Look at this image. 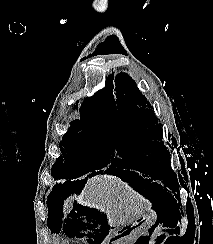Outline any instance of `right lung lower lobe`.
<instances>
[{"label": "right lung lower lobe", "mask_w": 213, "mask_h": 244, "mask_svg": "<svg viewBox=\"0 0 213 244\" xmlns=\"http://www.w3.org/2000/svg\"><path fill=\"white\" fill-rule=\"evenodd\" d=\"M71 185H73V183H70V186ZM69 186V187H70ZM66 189V188H68V183H67V181H65V183H64V186H62V184H59V186L58 185H56V187L52 190V193H51V195H58L59 193H60V191L62 190V189ZM53 196V197H54ZM51 197V196H50Z\"/></svg>", "instance_id": "right-lung-lower-lobe-1"}]
</instances>
